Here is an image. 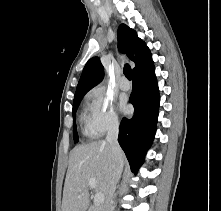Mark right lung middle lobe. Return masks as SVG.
Listing matches in <instances>:
<instances>
[{
    "label": "right lung middle lobe",
    "mask_w": 221,
    "mask_h": 211,
    "mask_svg": "<svg viewBox=\"0 0 221 211\" xmlns=\"http://www.w3.org/2000/svg\"><path fill=\"white\" fill-rule=\"evenodd\" d=\"M81 99H82V96L74 98L73 109H72L74 120H75V114H76V111H77V108L79 106V103H80ZM73 132H74V142L77 143L79 141V138H78L77 128H76L75 122H74V125H73Z\"/></svg>",
    "instance_id": "dd1d6c3e"
}]
</instances>
